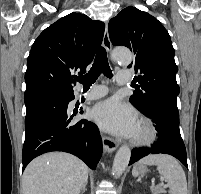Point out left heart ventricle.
Instances as JSON below:
<instances>
[{"mask_svg":"<svg viewBox=\"0 0 201 194\" xmlns=\"http://www.w3.org/2000/svg\"><path fill=\"white\" fill-rule=\"evenodd\" d=\"M138 133H139V130H138V128H137V131H136L135 135H137Z\"/></svg>","mask_w":201,"mask_h":194,"instance_id":"obj_1","label":"left heart ventricle"}]
</instances>
